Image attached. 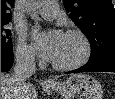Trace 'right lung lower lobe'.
I'll use <instances>...</instances> for the list:
<instances>
[{"mask_svg": "<svg viewBox=\"0 0 115 99\" xmlns=\"http://www.w3.org/2000/svg\"><path fill=\"white\" fill-rule=\"evenodd\" d=\"M14 56L10 55H1V72H7L13 65Z\"/></svg>", "mask_w": 115, "mask_h": 99, "instance_id": "obj_1", "label": "right lung lower lobe"}]
</instances>
